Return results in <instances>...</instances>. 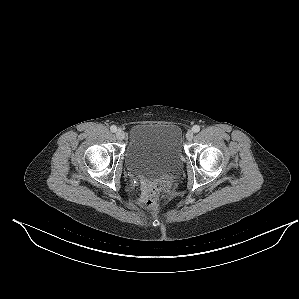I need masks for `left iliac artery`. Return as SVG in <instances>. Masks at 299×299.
Instances as JSON below:
<instances>
[{
    "label": "left iliac artery",
    "instance_id": "44dca946",
    "mask_svg": "<svg viewBox=\"0 0 299 299\" xmlns=\"http://www.w3.org/2000/svg\"><path fill=\"white\" fill-rule=\"evenodd\" d=\"M192 131L195 132V133L199 132L200 131V126H198V125L193 126Z\"/></svg>",
    "mask_w": 299,
    "mask_h": 299
}]
</instances>
